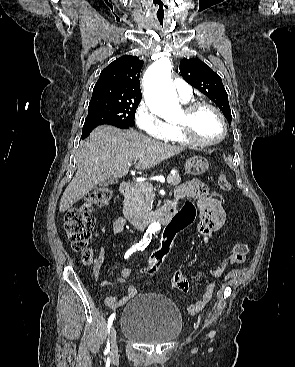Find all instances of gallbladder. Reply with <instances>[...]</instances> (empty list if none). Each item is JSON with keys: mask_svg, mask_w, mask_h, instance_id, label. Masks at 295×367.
I'll use <instances>...</instances> for the list:
<instances>
[{"mask_svg": "<svg viewBox=\"0 0 295 367\" xmlns=\"http://www.w3.org/2000/svg\"><path fill=\"white\" fill-rule=\"evenodd\" d=\"M116 182H117V180H115V179H107V180H104V181L100 182L99 187H105V186L114 184Z\"/></svg>", "mask_w": 295, "mask_h": 367, "instance_id": "bac80fb5", "label": "gallbladder"}]
</instances>
